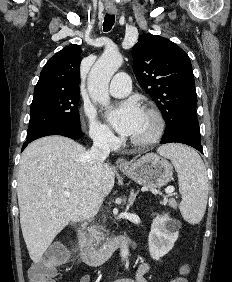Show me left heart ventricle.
Returning a JSON list of instances; mask_svg holds the SVG:
<instances>
[{"label":"left heart ventricle","instance_id":"1","mask_svg":"<svg viewBox=\"0 0 232 282\" xmlns=\"http://www.w3.org/2000/svg\"><path fill=\"white\" fill-rule=\"evenodd\" d=\"M155 128L154 120L144 111L141 123L135 133L131 136L134 139H143L152 134Z\"/></svg>","mask_w":232,"mask_h":282}]
</instances>
